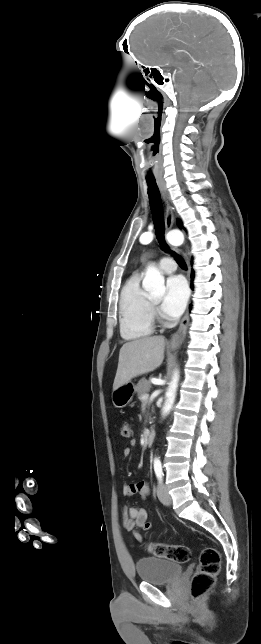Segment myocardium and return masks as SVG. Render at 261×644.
Returning a JSON list of instances; mask_svg holds the SVG:
<instances>
[{"label":"myocardium","instance_id":"obj_1","mask_svg":"<svg viewBox=\"0 0 261 644\" xmlns=\"http://www.w3.org/2000/svg\"><path fill=\"white\" fill-rule=\"evenodd\" d=\"M151 303H152L153 312L155 313V305H156V303L155 302H151Z\"/></svg>","mask_w":261,"mask_h":644}]
</instances>
